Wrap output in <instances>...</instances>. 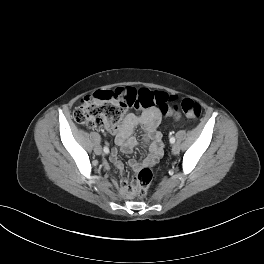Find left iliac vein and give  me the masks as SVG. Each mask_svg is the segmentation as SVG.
<instances>
[{
  "label": "left iliac vein",
  "mask_w": 264,
  "mask_h": 264,
  "mask_svg": "<svg viewBox=\"0 0 264 264\" xmlns=\"http://www.w3.org/2000/svg\"><path fill=\"white\" fill-rule=\"evenodd\" d=\"M179 150H180L179 145L176 144V143L173 144V146H172V153H173V154H178Z\"/></svg>",
  "instance_id": "obj_1"
}]
</instances>
